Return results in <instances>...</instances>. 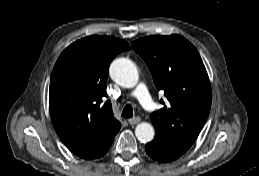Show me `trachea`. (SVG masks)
I'll return each instance as SVG.
<instances>
[{
	"label": "trachea",
	"mask_w": 259,
	"mask_h": 176,
	"mask_svg": "<svg viewBox=\"0 0 259 176\" xmlns=\"http://www.w3.org/2000/svg\"><path fill=\"white\" fill-rule=\"evenodd\" d=\"M122 116L126 118H131L133 116V108L130 104H127L123 111H122Z\"/></svg>",
	"instance_id": "trachea-1"
}]
</instances>
